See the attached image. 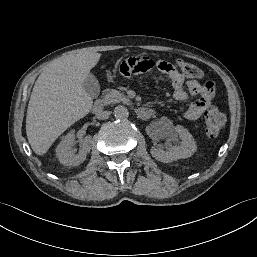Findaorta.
<instances>
[{
    "label": "aorta",
    "instance_id": "obj_1",
    "mask_svg": "<svg viewBox=\"0 0 257 257\" xmlns=\"http://www.w3.org/2000/svg\"><path fill=\"white\" fill-rule=\"evenodd\" d=\"M114 116L117 118V119H120V120H125L128 118L129 116V111L126 107L124 106H117L115 107L114 109Z\"/></svg>",
    "mask_w": 257,
    "mask_h": 257
}]
</instances>
